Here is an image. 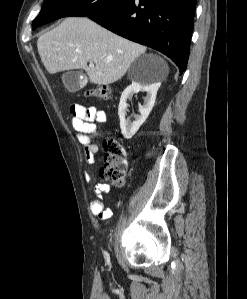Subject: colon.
Returning <instances> with one entry per match:
<instances>
[{
    "instance_id": "colon-1",
    "label": "colon",
    "mask_w": 247,
    "mask_h": 299,
    "mask_svg": "<svg viewBox=\"0 0 247 299\" xmlns=\"http://www.w3.org/2000/svg\"><path fill=\"white\" fill-rule=\"evenodd\" d=\"M111 95V90L107 86H99L90 88L85 91L84 96L89 98L108 99ZM105 156V166L102 169V177L109 180L113 184L120 186L124 182L125 170L123 157L125 149L122 144L113 137H108L103 143Z\"/></svg>"
}]
</instances>
